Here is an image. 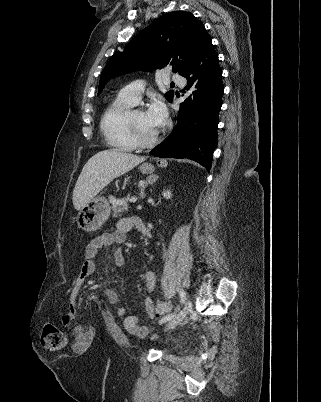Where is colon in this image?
I'll use <instances>...</instances> for the list:
<instances>
[{"mask_svg":"<svg viewBox=\"0 0 321 402\" xmlns=\"http://www.w3.org/2000/svg\"><path fill=\"white\" fill-rule=\"evenodd\" d=\"M155 311L159 316L166 315L171 311V304L166 301H158ZM41 343L44 350L56 352L65 347L66 335L56 325L46 324L42 330Z\"/></svg>","mask_w":321,"mask_h":402,"instance_id":"1","label":"colon"}]
</instances>
